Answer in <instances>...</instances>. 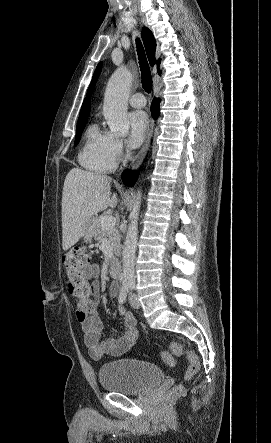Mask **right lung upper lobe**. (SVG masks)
<instances>
[{
  "mask_svg": "<svg viewBox=\"0 0 271 443\" xmlns=\"http://www.w3.org/2000/svg\"><path fill=\"white\" fill-rule=\"evenodd\" d=\"M142 39H143V42H144V46H145V49H146V53H147L149 62L153 66L155 64V62H156V58H155L156 41L154 39V36H153L152 32L148 28H146V27H144L142 29ZM159 64H160V60L157 61V70H158V73L160 75L161 71L159 70ZM101 65H102V63H99V65L97 66V68H96V70L94 72V75H93V78H92V82H91V84H90V86L88 88L87 97L84 99V102L82 104L78 120L84 119V118L88 117V114H89V111H90V104H91L90 96H91V94L93 92L95 83H96V81L98 79V76L100 74Z\"/></svg>",
  "mask_w": 271,
  "mask_h": 443,
  "instance_id": "obj_1",
  "label": "right lung upper lobe"
}]
</instances>
